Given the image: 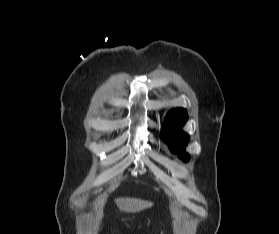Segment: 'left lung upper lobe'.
<instances>
[{"label":"left lung upper lobe","instance_id":"left-lung-upper-lobe-1","mask_svg":"<svg viewBox=\"0 0 279 234\" xmlns=\"http://www.w3.org/2000/svg\"><path fill=\"white\" fill-rule=\"evenodd\" d=\"M188 115L185 109L171 110L165 118V127L162 131L163 140L169 145L171 151L178 153L184 162L189 160V155L184 151L189 135L182 131V126L187 121Z\"/></svg>","mask_w":279,"mask_h":234}]
</instances>
